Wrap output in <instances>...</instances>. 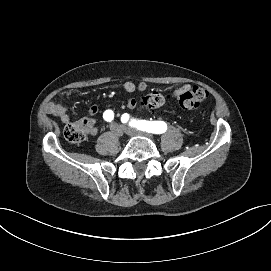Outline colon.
I'll return each instance as SVG.
<instances>
[{"mask_svg":"<svg viewBox=\"0 0 271 271\" xmlns=\"http://www.w3.org/2000/svg\"><path fill=\"white\" fill-rule=\"evenodd\" d=\"M208 97V92L199 86L191 87L185 91L179 99L182 108L186 110L196 109L202 101ZM167 101V96L158 91H151L145 94L141 99L142 107L156 109L162 107ZM87 135V126L85 123H71L64 129V137L67 141L75 144L82 143Z\"/></svg>","mask_w":271,"mask_h":271,"instance_id":"1","label":"colon"}]
</instances>
